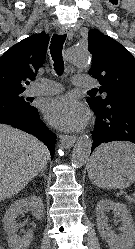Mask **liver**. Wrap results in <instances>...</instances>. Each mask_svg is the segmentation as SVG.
Returning <instances> with one entry per match:
<instances>
[{"mask_svg": "<svg viewBox=\"0 0 135 249\" xmlns=\"http://www.w3.org/2000/svg\"><path fill=\"white\" fill-rule=\"evenodd\" d=\"M50 159L37 138L0 124V202L20 192Z\"/></svg>", "mask_w": 135, "mask_h": 249, "instance_id": "1", "label": "liver"}]
</instances>
